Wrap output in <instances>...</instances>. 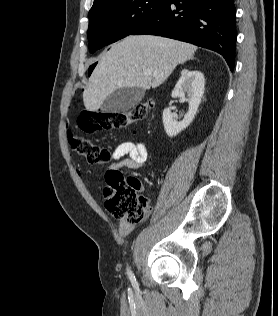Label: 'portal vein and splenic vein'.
<instances>
[{"mask_svg": "<svg viewBox=\"0 0 278 316\" xmlns=\"http://www.w3.org/2000/svg\"><path fill=\"white\" fill-rule=\"evenodd\" d=\"M146 73H147V74H151L152 72H151V71H146ZM155 74H156V73H155Z\"/></svg>", "mask_w": 278, "mask_h": 316, "instance_id": "obj_1", "label": "portal vein and splenic vein"}]
</instances>
